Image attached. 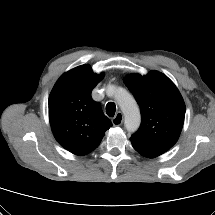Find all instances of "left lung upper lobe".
Segmentation results:
<instances>
[{
    "mask_svg": "<svg viewBox=\"0 0 215 215\" xmlns=\"http://www.w3.org/2000/svg\"><path fill=\"white\" fill-rule=\"evenodd\" d=\"M124 83L141 111V125L130 138L132 146L144 157H157L179 138L185 117L183 98L173 82L158 71L128 75Z\"/></svg>",
    "mask_w": 215,
    "mask_h": 215,
    "instance_id": "5c2ea615",
    "label": "left lung upper lobe"
}]
</instances>
